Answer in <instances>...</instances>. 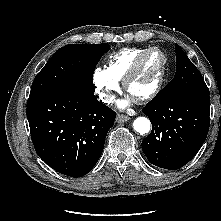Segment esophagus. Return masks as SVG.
Returning a JSON list of instances; mask_svg holds the SVG:
<instances>
[{
    "label": "esophagus",
    "instance_id": "obj_1",
    "mask_svg": "<svg viewBox=\"0 0 221 221\" xmlns=\"http://www.w3.org/2000/svg\"><path fill=\"white\" fill-rule=\"evenodd\" d=\"M115 120L117 123H123V122H127L128 120H130V117L123 115V114H118Z\"/></svg>",
    "mask_w": 221,
    "mask_h": 221
}]
</instances>
